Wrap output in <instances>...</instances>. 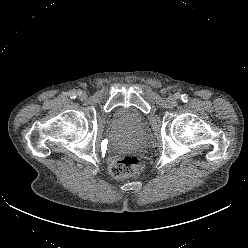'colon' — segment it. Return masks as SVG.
I'll return each instance as SVG.
<instances>
[{
	"label": "colon",
	"instance_id": "colon-1",
	"mask_svg": "<svg viewBox=\"0 0 248 248\" xmlns=\"http://www.w3.org/2000/svg\"><path fill=\"white\" fill-rule=\"evenodd\" d=\"M144 164L138 155H126L115 160L110 166V173L117 179L137 177L142 174Z\"/></svg>",
	"mask_w": 248,
	"mask_h": 248
}]
</instances>
